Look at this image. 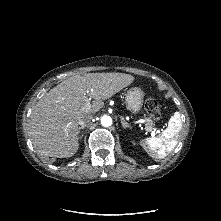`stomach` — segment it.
<instances>
[{
  "label": "stomach",
  "mask_w": 221,
  "mask_h": 221,
  "mask_svg": "<svg viewBox=\"0 0 221 221\" xmlns=\"http://www.w3.org/2000/svg\"><path fill=\"white\" fill-rule=\"evenodd\" d=\"M144 101V93L138 87H133L127 91L125 102L127 109L132 113H138Z\"/></svg>",
  "instance_id": "1"
}]
</instances>
